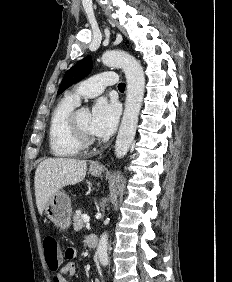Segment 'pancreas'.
Wrapping results in <instances>:
<instances>
[{
	"mask_svg": "<svg viewBox=\"0 0 232 282\" xmlns=\"http://www.w3.org/2000/svg\"><path fill=\"white\" fill-rule=\"evenodd\" d=\"M73 221H74L73 226H74V229H75L76 231H78V230H80V229H82V228L84 227L83 217H82L81 214H77V213H76V214L73 216Z\"/></svg>",
	"mask_w": 232,
	"mask_h": 282,
	"instance_id": "pancreas-1",
	"label": "pancreas"
}]
</instances>
